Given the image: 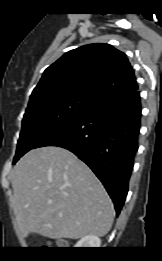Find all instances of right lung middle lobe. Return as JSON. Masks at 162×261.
Returning a JSON list of instances; mask_svg holds the SVG:
<instances>
[{"label":"right lung middle lobe","mask_w":162,"mask_h":261,"mask_svg":"<svg viewBox=\"0 0 162 261\" xmlns=\"http://www.w3.org/2000/svg\"><path fill=\"white\" fill-rule=\"evenodd\" d=\"M100 102L80 93L36 98L29 101L13 164L51 131L94 109Z\"/></svg>","instance_id":"1"}]
</instances>
